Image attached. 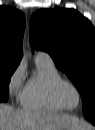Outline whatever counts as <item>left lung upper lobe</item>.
<instances>
[{"label":"left lung upper lobe","instance_id":"1","mask_svg":"<svg viewBox=\"0 0 95 130\" xmlns=\"http://www.w3.org/2000/svg\"><path fill=\"white\" fill-rule=\"evenodd\" d=\"M30 41L46 51L81 94L86 118L95 117V30L74 9H41L30 20Z\"/></svg>","mask_w":95,"mask_h":130}]
</instances>
